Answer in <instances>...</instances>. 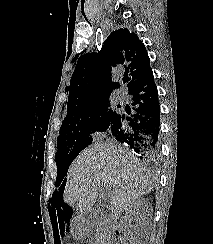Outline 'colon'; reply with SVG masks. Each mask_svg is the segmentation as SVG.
Listing matches in <instances>:
<instances>
[{
  "label": "colon",
  "mask_w": 213,
  "mask_h": 244,
  "mask_svg": "<svg viewBox=\"0 0 213 244\" xmlns=\"http://www.w3.org/2000/svg\"><path fill=\"white\" fill-rule=\"evenodd\" d=\"M64 244H73V243H71V242H65Z\"/></svg>",
  "instance_id": "colon-1"
}]
</instances>
